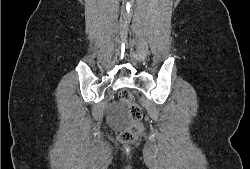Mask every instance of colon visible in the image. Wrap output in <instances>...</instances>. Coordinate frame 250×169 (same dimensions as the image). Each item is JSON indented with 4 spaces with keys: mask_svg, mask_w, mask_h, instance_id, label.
<instances>
[{
    "mask_svg": "<svg viewBox=\"0 0 250 169\" xmlns=\"http://www.w3.org/2000/svg\"><path fill=\"white\" fill-rule=\"evenodd\" d=\"M131 91V88H121L120 92H117L119 101L122 104H128V107H130L129 114L131 116L129 126H125V130H121V134H117L119 145H126L132 140L136 142V139H143V135H145L146 124L141 122V120H144V112L139 106L138 99H134L132 96Z\"/></svg>",
    "mask_w": 250,
    "mask_h": 169,
    "instance_id": "obj_1",
    "label": "colon"
}]
</instances>
